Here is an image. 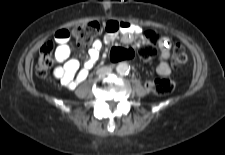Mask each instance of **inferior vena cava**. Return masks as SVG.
I'll use <instances>...</instances> for the list:
<instances>
[{"mask_svg":"<svg viewBox=\"0 0 225 155\" xmlns=\"http://www.w3.org/2000/svg\"><path fill=\"white\" fill-rule=\"evenodd\" d=\"M112 71L111 67H101L100 69H98V73L100 74H104V73H109Z\"/></svg>","mask_w":225,"mask_h":155,"instance_id":"602c4592","label":"inferior vena cava"}]
</instances>
